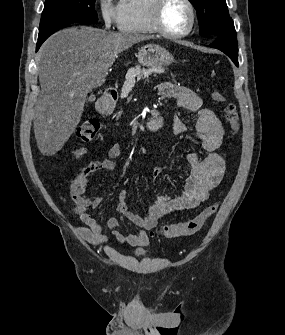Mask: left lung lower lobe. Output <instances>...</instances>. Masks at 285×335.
Wrapping results in <instances>:
<instances>
[{
	"label": "left lung lower lobe",
	"mask_w": 285,
	"mask_h": 335,
	"mask_svg": "<svg viewBox=\"0 0 285 335\" xmlns=\"http://www.w3.org/2000/svg\"><path fill=\"white\" fill-rule=\"evenodd\" d=\"M209 46L223 51L238 66V45L236 35L214 37L213 42Z\"/></svg>",
	"instance_id": "left-lung-lower-lobe-1"
}]
</instances>
